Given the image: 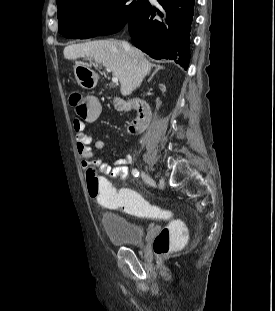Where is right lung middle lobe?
<instances>
[{
  "mask_svg": "<svg viewBox=\"0 0 275 311\" xmlns=\"http://www.w3.org/2000/svg\"><path fill=\"white\" fill-rule=\"evenodd\" d=\"M146 0H69L58 5L59 33L77 39L83 33L108 35L120 31Z\"/></svg>",
  "mask_w": 275,
  "mask_h": 311,
  "instance_id": "1",
  "label": "right lung middle lobe"
}]
</instances>
